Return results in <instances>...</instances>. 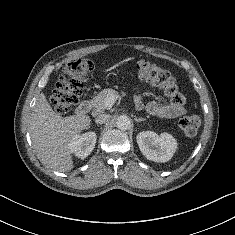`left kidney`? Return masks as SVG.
Wrapping results in <instances>:
<instances>
[{
    "label": "left kidney",
    "mask_w": 235,
    "mask_h": 235,
    "mask_svg": "<svg viewBox=\"0 0 235 235\" xmlns=\"http://www.w3.org/2000/svg\"><path fill=\"white\" fill-rule=\"evenodd\" d=\"M136 139L142 154L154 162L169 161L177 149L176 139L166 132L158 135L152 131H143Z\"/></svg>",
    "instance_id": "left-kidney-1"
}]
</instances>
